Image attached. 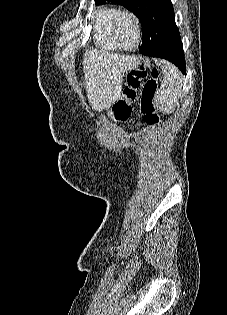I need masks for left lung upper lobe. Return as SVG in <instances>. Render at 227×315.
Segmentation results:
<instances>
[{
	"label": "left lung upper lobe",
	"instance_id": "obj_1",
	"mask_svg": "<svg viewBox=\"0 0 227 315\" xmlns=\"http://www.w3.org/2000/svg\"><path fill=\"white\" fill-rule=\"evenodd\" d=\"M104 0H95L96 4ZM133 12L142 24L143 40H151L157 49H173L182 45L175 23L171 0H108Z\"/></svg>",
	"mask_w": 227,
	"mask_h": 315
}]
</instances>
